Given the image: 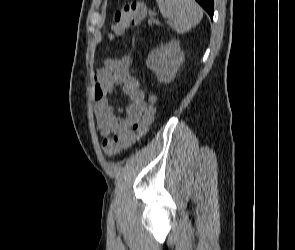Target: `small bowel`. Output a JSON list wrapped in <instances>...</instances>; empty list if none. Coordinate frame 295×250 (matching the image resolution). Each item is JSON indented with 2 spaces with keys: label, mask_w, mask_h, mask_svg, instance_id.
<instances>
[{
  "label": "small bowel",
  "mask_w": 295,
  "mask_h": 250,
  "mask_svg": "<svg viewBox=\"0 0 295 250\" xmlns=\"http://www.w3.org/2000/svg\"><path fill=\"white\" fill-rule=\"evenodd\" d=\"M94 80L96 129L105 140L117 139L126 149L136 142L135 127L148 106L138 80L130 75V59L127 56L107 59L95 73ZM116 88L129 98L125 115L111 102L110 96Z\"/></svg>",
  "instance_id": "1"
}]
</instances>
